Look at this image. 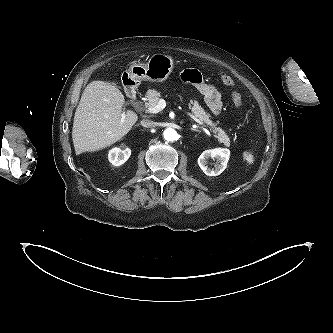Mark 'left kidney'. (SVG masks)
Returning a JSON list of instances; mask_svg holds the SVG:
<instances>
[{
	"label": "left kidney",
	"mask_w": 333,
	"mask_h": 333,
	"mask_svg": "<svg viewBox=\"0 0 333 333\" xmlns=\"http://www.w3.org/2000/svg\"><path fill=\"white\" fill-rule=\"evenodd\" d=\"M230 156L229 149L215 148L212 150H205L198 158V165L201 170L208 176L220 175L226 168ZM216 159L215 169L208 167V159Z\"/></svg>",
	"instance_id": "left-kidney-1"
}]
</instances>
